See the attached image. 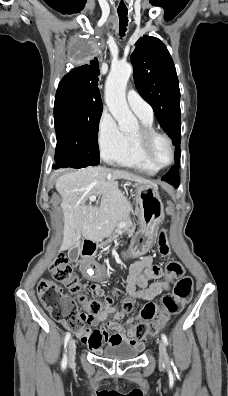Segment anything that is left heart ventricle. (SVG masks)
Returning a JSON list of instances; mask_svg holds the SVG:
<instances>
[{
    "label": "left heart ventricle",
    "instance_id": "1",
    "mask_svg": "<svg viewBox=\"0 0 228 396\" xmlns=\"http://www.w3.org/2000/svg\"><path fill=\"white\" fill-rule=\"evenodd\" d=\"M152 156L159 165L165 164L170 158V151L163 139H157L152 147Z\"/></svg>",
    "mask_w": 228,
    "mask_h": 396
}]
</instances>
